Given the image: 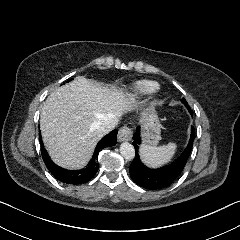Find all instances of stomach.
Returning <instances> with one entry per match:
<instances>
[{
	"label": "stomach",
	"mask_w": 240,
	"mask_h": 240,
	"mask_svg": "<svg viewBox=\"0 0 240 240\" xmlns=\"http://www.w3.org/2000/svg\"><path fill=\"white\" fill-rule=\"evenodd\" d=\"M140 124L143 145L156 146L161 140V129L154 104L142 113Z\"/></svg>",
	"instance_id": "1"
}]
</instances>
